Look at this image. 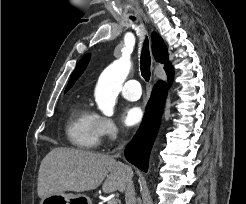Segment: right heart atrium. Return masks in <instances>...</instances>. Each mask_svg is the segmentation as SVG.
<instances>
[{"mask_svg": "<svg viewBox=\"0 0 246 204\" xmlns=\"http://www.w3.org/2000/svg\"><path fill=\"white\" fill-rule=\"evenodd\" d=\"M100 132L101 136L113 141L120 137L122 130L112 118L100 116Z\"/></svg>", "mask_w": 246, "mask_h": 204, "instance_id": "d8ad5b80", "label": "right heart atrium"}]
</instances>
